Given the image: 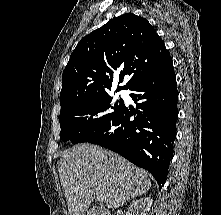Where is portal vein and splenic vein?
<instances>
[{
  "label": "portal vein and splenic vein",
  "instance_id": "1",
  "mask_svg": "<svg viewBox=\"0 0 221 215\" xmlns=\"http://www.w3.org/2000/svg\"><path fill=\"white\" fill-rule=\"evenodd\" d=\"M97 200L102 202L104 201V197L101 194H97Z\"/></svg>",
  "mask_w": 221,
  "mask_h": 215
}]
</instances>
